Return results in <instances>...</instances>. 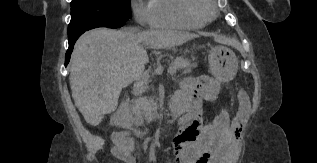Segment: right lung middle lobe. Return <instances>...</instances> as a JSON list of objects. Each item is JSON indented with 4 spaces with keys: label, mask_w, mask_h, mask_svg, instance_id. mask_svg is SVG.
<instances>
[{
    "label": "right lung middle lobe",
    "mask_w": 317,
    "mask_h": 163,
    "mask_svg": "<svg viewBox=\"0 0 317 163\" xmlns=\"http://www.w3.org/2000/svg\"><path fill=\"white\" fill-rule=\"evenodd\" d=\"M130 18V0H72L68 37L101 23H124Z\"/></svg>",
    "instance_id": "obj_1"
}]
</instances>
